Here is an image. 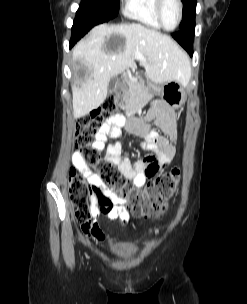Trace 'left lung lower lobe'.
I'll return each mask as SVG.
<instances>
[{
	"mask_svg": "<svg viewBox=\"0 0 247 304\" xmlns=\"http://www.w3.org/2000/svg\"><path fill=\"white\" fill-rule=\"evenodd\" d=\"M194 26L181 29L179 32L172 34L175 40L192 56L194 38Z\"/></svg>",
	"mask_w": 247,
	"mask_h": 304,
	"instance_id": "left-lung-lower-lobe-1",
	"label": "left lung lower lobe"
}]
</instances>
